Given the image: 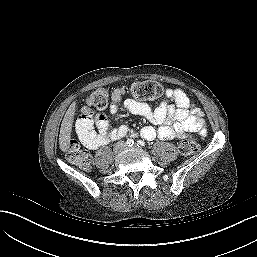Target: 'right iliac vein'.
Listing matches in <instances>:
<instances>
[{"mask_svg": "<svg viewBox=\"0 0 257 257\" xmlns=\"http://www.w3.org/2000/svg\"><path fill=\"white\" fill-rule=\"evenodd\" d=\"M125 145L120 143L118 144L115 148H114V153L115 154H118L120 153L123 149H124Z\"/></svg>", "mask_w": 257, "mask_h": 257, "instance_id": "63e3f726", "label": "right iliac vein"}]
</instances>
